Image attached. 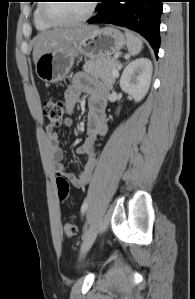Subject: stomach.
I'll return each mask as SVG.
<instances>
[{
	"label": "stomach",
	"mask_w": 195,
	"mask_h": 299,
	"mask_svg": "<svg viewBox=\"0 0 195 299\" xmlns=\"http://www.w3.org/2000/svg\"><path fill=\"white\" fill-rule=\"evenodd\" d=\"M126 42L124 34L114 27H95L69 47L41 55L36 63V74L44 82L57 83L67 76L75 58L84 56L95 60L111 57Z\"/></svg>",
	"instance_id": "0dacf381"
}]
</instances>
